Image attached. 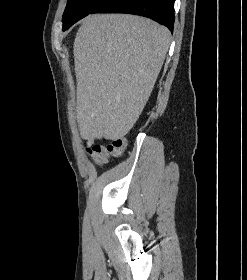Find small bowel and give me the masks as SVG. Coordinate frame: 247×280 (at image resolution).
Wrapping results in <instances>:
<instances>
[{
	"instance_id": "obj_1",
	"label": "small bowel",
	"mask_w": 247,
	"mask_h": 280,
	"mask_svg": "<svg viewBox=\"0 0 247 280\" xmlns=\"http://www.w3.org/2000/svg\"><path fill=\"white\" fill-rule=\"evenodd\" d=\"M95 139H101V136L97 135V136H95L94 138L88 139V145L90 146V149H91L94 145H96V144H94ZM90 149H89V150H90Z\"/></svg>"
}]
</instances>
